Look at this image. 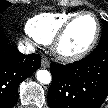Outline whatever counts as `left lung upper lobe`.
<instances>
[{
    "instance_id": "5c2ea615",
    "label": "left lung upper lobe",
    "mask_w": 108,
    "mask_h": 108,
    "mask_svg": "<svg viewBox=\"0 0 108 108\" xmlns=\"http://www.w3.org/2000/svg\"><path fill=\"white\" fill-rule=\"evenodd\" d=\"M99 44L108 46V22L103 20V33Z\"/></svg>"
}]
</instances>
